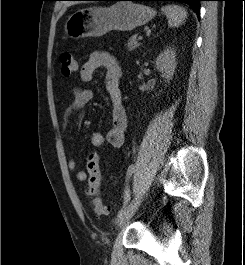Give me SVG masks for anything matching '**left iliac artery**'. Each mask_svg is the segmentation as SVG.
Masks as SVG:
<instances>
[{
	"label": "left iliac artery",
	"instance_id": "44dca946",
	"mask_svg": "<svg viewBox=\"0 0 245 265\" xmlns=\"http://www.w3.org/2000/svg\"><path fill=\"white\" fill-rule=\"evenodd\" d=\"M135 170H136V165L135 164H131L128 167V170H127V179L130 178V176L135 172ZM129 201H130V192H129V189L127 188L125 190V194H124V204H123V207L118 212V215H117L118 218H120L121 216H123V214H125L126 210L129 207V205H128Z\"/></svg>",
	"mask_w": 245,
	"mask_h": 265
}]
</instances>
